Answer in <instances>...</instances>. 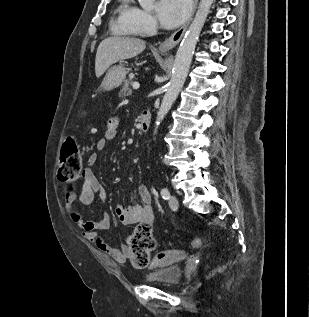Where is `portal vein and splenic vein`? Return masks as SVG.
Wrapping results in <instances>:
<instances>
[{"label":"portal vein and splenic vein","mask_w":309,"mask_h":317,"mask_svg":"<svg viewBox=\"0 0 309 317\" xmlns=\"http://www.w3.org/2000/svg\"><path fill=\"white\" fill-rule=\"evenodd\" d=\"M132 87H133V89H139V87H140V84L138 83V82H134L133 84H132Z\"/></svg>","instance_id":"portal-vein-and-splenic-vein-1"}]
</instances>
